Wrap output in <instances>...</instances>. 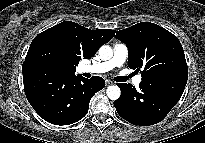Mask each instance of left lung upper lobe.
I'll return each mask as SVG.
<instances>
[{
	"instance_id": "5c2ea615",
	"label": "left lung upper lobe",
	"mask_w": 205,
	"mask_h": 143,
	"mask_svg": "<svg viewBox=\"0 0 205 143\" xmlns=\"http://www.w3.org/2000/svg\"><path fill=\"white\" fill-rule=\"evenodd\" d=\"M128 47V66L142 79L170 73L188 74L184 51L178 38L150 22L137 23L115 36Z\"/></svg>"
}]
</instances>
